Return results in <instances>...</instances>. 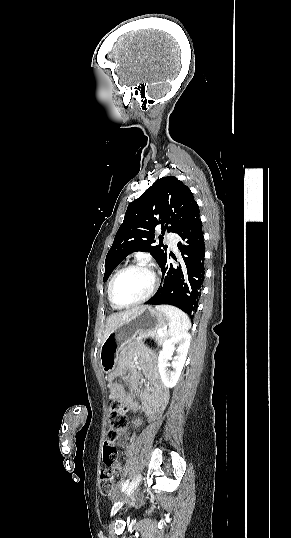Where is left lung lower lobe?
<instances>
[{
    "mask_svg": "<svg viewBox=\"0 0 291 538\" xmlns=\"http://www.w3.org/2000/svg\"><path fill=\"white\" fill-rule=\"evenodd\" d=\"M175 233L180 238L178 249L182 255L178 266L168 264V255L165 257L160 265L162 285L145 304L173 305L193 319L192 312L197 310L205 274V245L199 209L195 210Z\"/></svg>",
    "mask_w": 291,
    "mask_h": 538,
    "instance_id": "left-lung-lower-lobe-1",
    "label": "left lung lower lobe"
}]
</instances>
